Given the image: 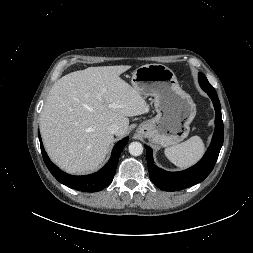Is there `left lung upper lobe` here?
<instances>
[{
	"mask_svg": "<svg viewBox=\"0 0 253 253\" xmlns=\"http://www.w3.org/2000/svg\"><path fill=\"white\" fill-rule=\"evenodd\" d=\"M200 86H211L204 74L199 73Z\"/></svg>",
	"mask_w": 253,
	"mask_h": 253,
	"instance_id": "obj_1",
	"label": "left lung upper lobe"
}]
</instances>
